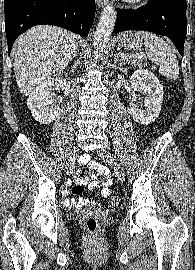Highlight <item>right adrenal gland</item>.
<instances>
[{
	"label": "right adrenal gland",
	"mask_w": 195,
	"mask_h": 270,
	"mask_svg": "<svg viewBox=\"0 0 195 270\" xmlns=\"http://www.w3.org/2000/svg\"><path fill=\"white\" fill-rule=\"evenodd\" d=\"M78 52H79V47H78V43H76V46H75V49H74V52L70 61H72L74 58L77 57Z\"/></svg>",
	"instance_id": "2a0ac1e0"
}]
</instances>
